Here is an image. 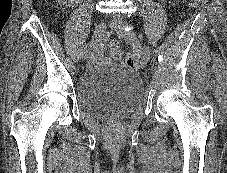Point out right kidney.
<instances>
[{"label": "right kidney", "mask_w": 227, "mask_h": 173, "mask_svg": "<svg viewBox=\"0 0 227 173\" xmlns=\"http://www.w3.org/2000/svg\"><path fill=\"white\" fill-rule=\"evenodd\" d=\"M58 2H59V4H61V5H66L67 4V2H73V1H75V0H57Z\"/></svg>", "instance_id": "obj_1"}]
</instances>
